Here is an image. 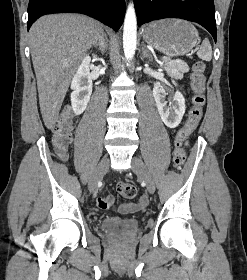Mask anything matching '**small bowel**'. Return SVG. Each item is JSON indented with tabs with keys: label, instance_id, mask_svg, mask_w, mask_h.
I'll use <instances>...</instances> for the list:
<instances>
[{
	"label": "small bowel",
	"instance_id": "small-bowel-1",
	"mask_svg": "<svg viewBox=\"0 0 247 280\" xmlns=\"http://www.w3.org/2000/svg\"><path fill=\"white\" fill-rule=\"evenodd\" d=\"M97 204L102 209H108L113 207L114 205V199L112 196H105L98 199ZM148 204V199L146 196H141L139 200L135 203H127V204H121L116 207V210H118L120 213H130L135 212L143 209Z\"/></svg>",
	"mask_w": 247,
	"mask_h": 280
}]
</instances>
